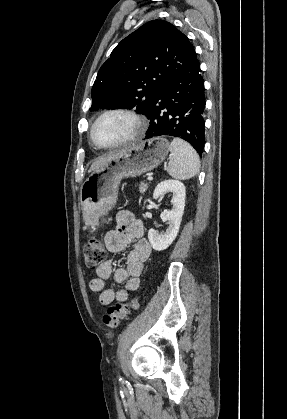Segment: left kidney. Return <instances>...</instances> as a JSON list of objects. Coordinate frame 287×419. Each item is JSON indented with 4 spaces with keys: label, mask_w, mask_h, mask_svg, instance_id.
Masks as SVG:
<instances>
[{
    "label": "left kidney",
    "mask_w": 287,
    "mask_h": 419,
    "mask_svg": "<svg viewBox=\"0 0 287 419\" xmlns=\"http://www.w3.org/2000/svg\"><path fill=\"white\" fill-rule=\"evenodd\" d=\"M173 194V207L161 213L162 221H167L169 226L165 233L159 234L156 230L150 229L148 239L152 248L156 251L167 249L177 237L185 207V186L178 180H164L160 182L153 193L154 199L163 197L166 193Z\"/></svg>",
    "instance_id": "5707ae66"
}]
</instances>
